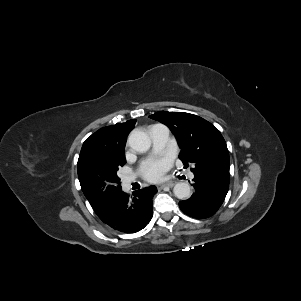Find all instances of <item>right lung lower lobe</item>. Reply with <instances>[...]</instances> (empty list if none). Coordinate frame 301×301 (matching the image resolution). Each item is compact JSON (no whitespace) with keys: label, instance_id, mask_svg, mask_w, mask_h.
I'll use <instances>...</instances> for the list:
<instances>
[{"label":"right lung lower lobe","instance_id":"1","mask_svg":"<svg viewBox=\"0 0 301 301\" xmlns=\"http://www.w3.org/2000/svg\"><path fill=\"white\" fill-rule=\"evenodd\" d=\"M157 192L155 186L138 190L134 197L123 191L99 218L113 229L125 233H135L143 229L151 220L152 198Z\"/></svg>","mask_w":301,"mask_h":301}]
</instances>
